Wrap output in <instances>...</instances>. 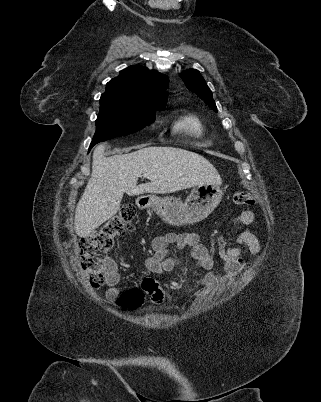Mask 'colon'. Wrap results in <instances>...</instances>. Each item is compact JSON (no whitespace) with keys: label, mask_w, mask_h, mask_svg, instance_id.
I'll list each match as a JSON object with an SVG mask.
<instances>
[{"label":"colon","mask_w":321,"mask_h":402,"mask_svg":"<svg viewBox=\"0 0 321 402\" xmlns=\"http://www.w3.org/2000/svg\"><path fill=\"white\" fill-rule=\"evenodd\" d=\"M236 205L255 204L254 197L247 192H236L232 196ZM132 206H123L112 218L104 222L97 230L82 237L79 242L81 266L92 288H101L107 279L105 259L115 245L117 237L125 233L135 218ZM144 302V293L140 289H130L119 297L118 303L123 310L136 311Z\"/></svg>","instance_id":"obj_1"}]
</instances>
